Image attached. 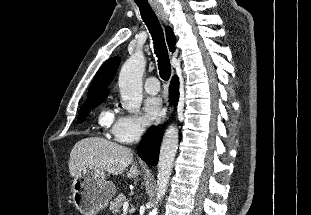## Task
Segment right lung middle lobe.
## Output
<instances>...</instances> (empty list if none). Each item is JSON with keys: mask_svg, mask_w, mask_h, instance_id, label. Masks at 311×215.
<instances>
[{"mask_svg": "<svg viewBox=\"0 0 311 215\" xmlns=\"http://www.w3.org/2000/svg\"><path fill=\"white\" fill-rule=\"evenodd\" d=\"M106 98V96L103 97H97V98H92L88 99L83 105L82 108L80 109L79 116H78V123H81L82 121L85 120L87 117L89 111L98 106L99 104L102 103V101Z\"/></svg>", "mask_w": 311, "mask_h": 215, "instance_id": "dd1d6c3e", "label": "right lung middle lobe"}]
</instances>
